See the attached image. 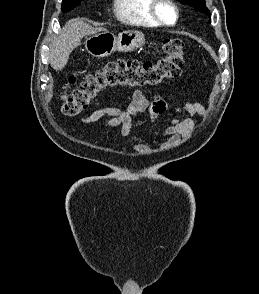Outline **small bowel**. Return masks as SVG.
I'll return each mask as SVG.
<instances>
[{
  "instance_id": "small-bowel-1",
  "label": "small bowel",
  "mask_w": 259,
  "mask_h": 294,
  "mask_svg": "<svg viewBox=\"0 0 259 294\" xmlns=\"http://www.w3.org/2000/svg\"><path fill=\"white\" fill-rule=\"evenodd\" d=\"M169 111V106L166 100L155 94L151 99L148 96L137 90L134 92L132 101L126 110H121L115 107H106L98 109L86 117H82L79 121L82 124H91L99 121L103 117L110 119L104 123V127H118L119 132L123 136L131 134L134 130L133 119L147 113L151 118H157L166 114ZM177 114L197 115L202 118L207 116V110L201 103L188 102L176 109ZM195 122L191 118L172 119L169 125L163 130L162 136L169 139H176L182 136L191 134L195 129ZM135 151L142 152L149 150V146L145 144H137L133 147Z\"/></svg>"
}]
</instances>
